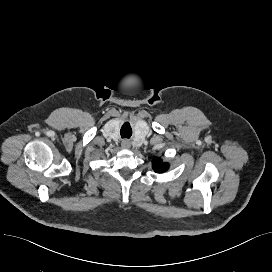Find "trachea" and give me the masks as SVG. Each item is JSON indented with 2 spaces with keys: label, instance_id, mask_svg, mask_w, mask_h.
<instances>
[{
  "label": "trachea",
  "instance_id": "1",
  "mask_svg": "<svg viewBox=\"0 0 272 272\" xmlns=\"http://www.w3.org/2000/svg\"><path fill=\"white\" fill-rule=\"evenodd\" d=\"M122 138H130L132 135V129L129 124H124L120 130Z\"/></svg>",
  "mask_w": 272,
  "mask_h": 272
}]
</instances>
